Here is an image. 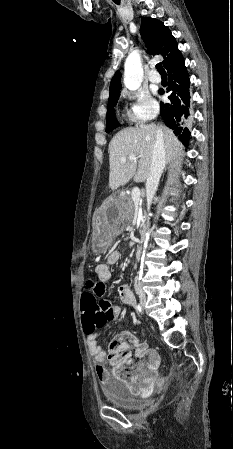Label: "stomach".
Here are the masks:
<instances>
[{
    "label": "stomach",
    "mask_w": 233,
    "mask_h": 449,
    "mask_svg": "<svg viewBox=\"0 0 233 449\" xmlns=\"http://www.w3.org/2000/svg\"><path fill=\"white\" fill-rule=\"evenodd\" d=\"M119 198L112 197L105 202L102 212H94V221H96L98 242L94 245L96 251L103 252L110 244L108 237L112 227L117 226V221L121 216Z\"/></svg>",
    "instance_id": "obj_1"
}]
</instances>
